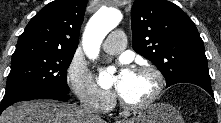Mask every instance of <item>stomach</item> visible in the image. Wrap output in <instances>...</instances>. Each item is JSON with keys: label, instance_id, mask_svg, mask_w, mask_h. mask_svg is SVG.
Segmentation results:
<instances>
[{"label": "stomach", "instance_id": "obj_1", "mask_svg": "<svg viewBox=\"0 0 221 123\" xmlns=\"http://www.w3.org/2000/svg\"><path fill=\"white\" fill-rule=\"evenodd\" d=\"M129 123H184V121L173 106L155 103L136 112Z\"/></svg>", "mask_w": 221, "mask_h": 123}]
</instances>
